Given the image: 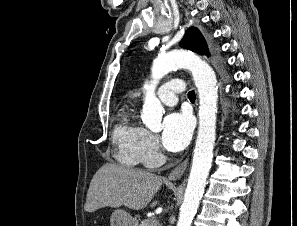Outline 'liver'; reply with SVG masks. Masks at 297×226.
<instances>
[{
  "instance_id": "6515ba94",
  "label": "liver",
  "mask_w": 297,
  "mask_h": 226,
  "mask_svg": "<svg viewBox=\"0 0 297 226\" xmlns=\"http://www.w3.org/2000/svg\"><path fill=\"white\" fill-rule=\"evenodd\" d=\"M161 185L162 177L151 172L106 163L91 180L85 210L92 213L108 206L143 209L152 201ZM157 204L158 201H153L150 206Z\"/></svg>"
}]
</instances>
